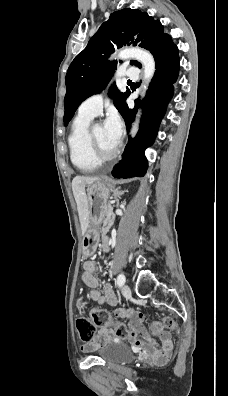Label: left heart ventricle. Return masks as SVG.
<instances>
[{"mask_svg":"<svg viewBox=\"0 0 228 396\" xmlns=\"http://www.w3.org/2000/svg\"><path fill=\"white\" fill-rule=\"evenodd\" d=\"M94 134L97 140V143L102 152L108 154L113 152L118 143L114 142L109 135L107 134L105 128L101 124H97L94 126Z\"/></svg>","mask_w":228,"mask_h":396,"instance_id":"obj_1","label":"left heart ventricle"}]
</instances>
